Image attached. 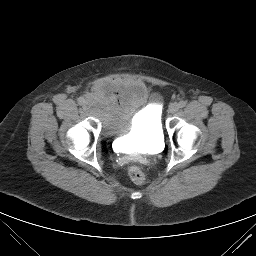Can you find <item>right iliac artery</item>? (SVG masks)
I'll return each mask as SVG.
<instances>
[{"mask_svg": "<svg viewBox=\"0 0 256 256\" xmlns=\"http://www.w3.org/2000/svg\"><path fill=\"white\" fill-rule=\"evenodd\" d=\"M84 103V98L83 97H79L78 98V104L82 105Z\"/></svg>", "mask_w": 256, "mask_h": 256, "instance_id": "1", "label": "right iliac artery"}]
</instances>
